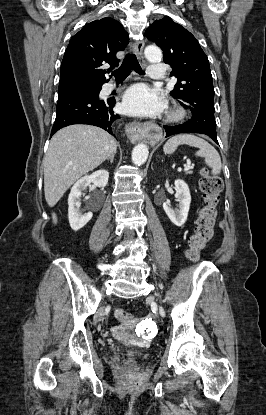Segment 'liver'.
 <instances>
[{
	"instance_id": "liver-1",
	"label": "liver",
	"mask_w": 266,
	"mask_h": 415,
	"mask_svg": "<svg viewBox=\"0 0 266 415\" xmlns=\"http://www.w3.org/2000/svg\"><path fill=\"white\" fill-rule=\"evenodd\" d=\"M116 140L106 131L91 125H70L52 138L43 160L44 193L53 207L67 189L116 153ZM57 223L56 214H52Z\"/></svg>"
}]
</instances>
